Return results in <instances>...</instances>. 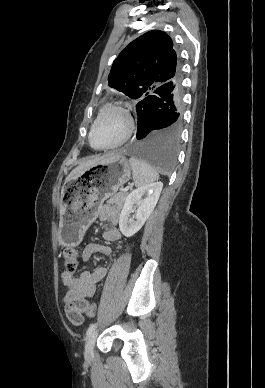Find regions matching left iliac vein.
I'll list each match as a JSON object with an SVG mask.
<instances>
[{"label": "left iliac vein", "mask_w": 265, "mask_h": 388, "mask_svg": "<svg viewBox=\"0 0 265 388\" xmlns=\"http://www.w3.org/2000/svg\"><path fill=\"white\" fill-rule=\"evenodd\" d=\"M97 335H98V332L94 330L88 335L86 339L84 355L87 360H90L93 357V354H94L93 349H94Z\"/></svg>", "instance_id": "left-iliac-vein-1"}]
</instances>
